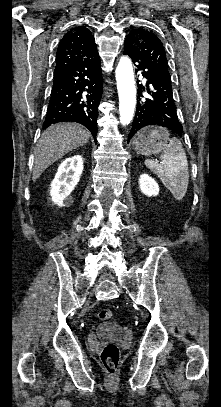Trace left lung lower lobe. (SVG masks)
Masks as SVG:
<instances>
[{
  "label": "left lung lower lobe",
  "mask_w": 221,
  "mask_h": 407,
  "mask_svg": "<svg viewBox=\"0 0 221 407\" xmlns=\"http://www.w3.org/2000/svg\"><path fill=\"white\" fill-rule=\"evenodd\" d=\"M124 54L130 56L136 66V72L141 70L142 75L148 80L146 87L150 94L149 98H143L142 92L146 88L142 87V85L138 86L139 99L128 138L130 139L139 129L148 125L166 127L181 137L183 127L176 113L171 78L158 73L145 61L140 60L135 52L133 41L129 37L126 38L124 43Z\"/></svg>",
  "instance_id": "left-lung-lower-lobe-1"
}]
</instances>
